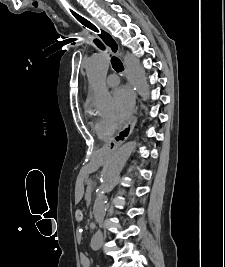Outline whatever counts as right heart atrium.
Returning <instances> with one entry per match:
<instances>
[{
    "label": "right heart atrium",
    "instance_id": "obj_1",
    "mask_svg": "<svg viewBox=\"0 0 225 267\" xmlns=\"http://www.w3.org/2000/svg\"><path fill=\"white\" fill-rule=\"evenodd\" d=\"M100 125L104 133L112 135L117 130V123L111 118L100 119Z\"/></svg>",
    "mask_w": 225,
    "mask_h": 267
}]
</instances>
